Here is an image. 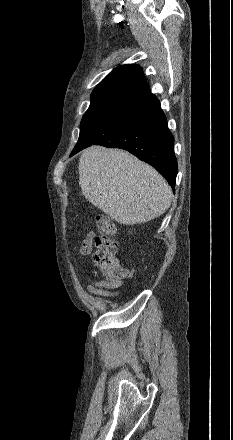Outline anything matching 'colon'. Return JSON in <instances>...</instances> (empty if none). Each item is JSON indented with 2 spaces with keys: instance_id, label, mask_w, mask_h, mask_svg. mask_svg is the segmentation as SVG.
Instances as JSON below:
<instances>
[{
  "instance_id": "obj_1",
  "label": "colon",
  "mask_w": 233,
  "mask_h": 440,
  "mask_svg": "<svg viewBox=\"0 0 233 440\" xmlns=\"http://www.w3.org/2000/svg\"><path fill=\"white\" fill-rule=\"evenodd\" d=\"M96 221L99 236L95 239L94 263L103 277L113 284H119L131 278L133 271L120 264L115 258L118 243L114 238L116 229L112 220L104 214H98Z\"/></svg>"
}]
</instances>
